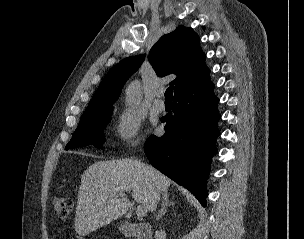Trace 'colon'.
I'll use <instances>...</instances> for the list:
<instances>
[{
	"label": "colon",
	"instance_id": "1",
	"mask_svg": "<svg viewBox=\"0 0 304 239\" xmlns=\"http://www.w3.org/2000/svg\"><path fill=\"white\" fill-rule=\"evenodd\" d=\"M53 207L58 217L66 218L73 209V201L69 197L57 196L53 199Z\"/></svg>",
	"mask_w": 304,
	"mask_h": 239
}]
</instances>
